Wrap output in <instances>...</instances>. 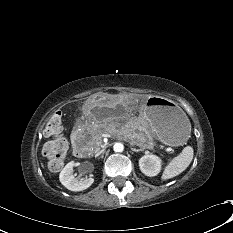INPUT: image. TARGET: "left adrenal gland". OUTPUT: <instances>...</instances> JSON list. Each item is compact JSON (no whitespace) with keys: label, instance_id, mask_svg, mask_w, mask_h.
Returning a JSON list of instances; mask_svg holds the SVG:
<instances>
[{"label":"left adrenal gland","instance_id":"left-adrenal-gland-1","mask_svg":"<svg viewBox=\"0 0 233 233\" xmlns=\"http://www.w3.org/2000/svg\"><path fill=\"white\" fill-rule=\"evenodd\" d=\"M131 150L134 152H140V151H143L144 148L136 149V148L131 147Z\"/></svg>","mask_w":233,"mask_h":233}]
</instances>
